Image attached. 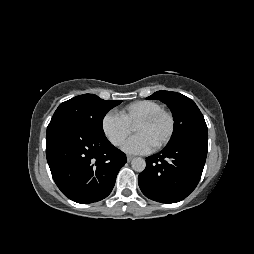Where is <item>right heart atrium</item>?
I'll return each mask as SVG.
<instances>
[{"label":"right heart atrium","instance_id":"1","mask_svg":"<svg viewBox=\"0 0 254 254\" xmlns=\"http://www.w3.org/2000/svg\"><path fill=\"white\" fill-rule=\"evenodd\" d=\"M101 130L113 146L120 147L130 135L132 128L117 112L109 111L101 120Z\"/></svg>","mask_w":254,"mask_h":254}]
</instances>
